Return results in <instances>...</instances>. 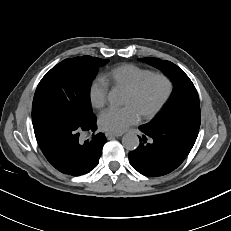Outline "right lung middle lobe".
<instances>
[{"label": "right lung middle lobe", "instance_id": "1", "mask_svg": "<svg viewBox=\"0 0 231 231\" xmlns=\"http://www.w3.org/2000/svg\"><path fill=\"white\" fill-rule=\"evenodd\" d=\"M108 60L88 55L65 59L40 81L32 104V122L61 119L76 125L95 119L89 102V87L97 69Z\"/></svg>", "mask_w": 231, "mask_h": 231}]
</instances>
